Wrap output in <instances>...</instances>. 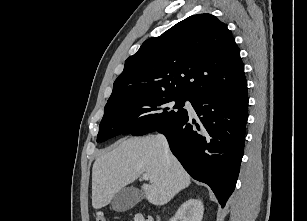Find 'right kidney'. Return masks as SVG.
<instances>
[{"instance_id": "1", "label": "right kidney", "mask_w": 307, "mask_h": 221, "mask_svg": "<svg viewBox=\"0 0 307 221\" xmlns=\"http://www.w3.org/2000/svg\"><path fill=\"white\" fill-rule=\"evenodd\" d=\"M204 212L203 202L199 199H189L177 210L170 221H202Z\"/></svg>"}]
</instances>
